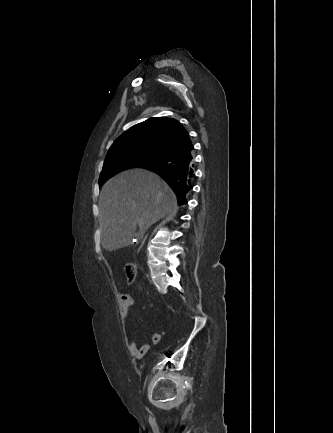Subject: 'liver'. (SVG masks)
<instances>
[{"label":"liver","mask_w":333,"mask_h":433,"mask_svg":"<svg viewBox=\"0 0 333 433\" xmlns=\"http://www.w3.org/2000/svg\"><path fill=\"white\" fill-rule=\"evenodd\" d=\"M177 209L176 195L155 173L144 169L119 173L103 186L100 195L98 218L103 248L114 251L131 245L137 224L144 234L161 218L176 214Z\"/></svg>","instance_id":"1"}]
</instances>
